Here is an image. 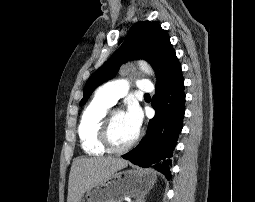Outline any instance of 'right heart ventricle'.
Here are the masks:
<instances>
[{
  "label": "right heart ventricle",
  "instance_id": "right-heart-ventricle-1",
  "mask_svg": "<svg viewBox=\"0 0 255 202\" xmlns=\"http://www.w3.org/2000/svg\"><path fill=\"white\" fill-rule=\"evenodd\" d=\"M110 106L109 103L95 95L83 111L78 133L82 148L89 155H103L107 151L99 141V129Z\"/></svg>",
  "mask_w": 255,
  "mask_h": 202
}]
</instances>
